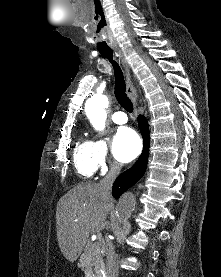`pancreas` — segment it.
<instances>
[{
	"label": "pancreas",
	"instance_id": "pancreas-1",
	"mask_svg": "<svg viewBox=\"0 0 221 277\" xmlns=\"http://www.w3.org/2000/svg\"><path fill=\"white\" fill-rule=\"evenodd\" d=\"M104 246V243H95L92 247L87 248L80 257L78 266L85 274H90L89 277H104Z\"/></svg>",
	"mask_w": 221,
	"mask_h": 277
}]
</instances>
